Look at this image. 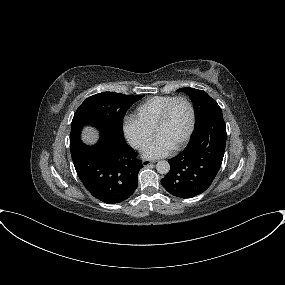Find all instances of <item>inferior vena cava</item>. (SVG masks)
<instances>
[{"label": "inferior vena cava", "mask_w": 285, "mask_h": 285, "mask_svg": "<svg viewBox=\"0 0 285 285\" xmlns=\"http://www.w3.org/2000/svg\"><path fill=\"white\" fill-rule=\"evenodd\" d=\"M133 147L136 149H143L145 147V143L141 140H136L132 143Z\"/></svg>", "instance_id": "1"}]
</instances>
